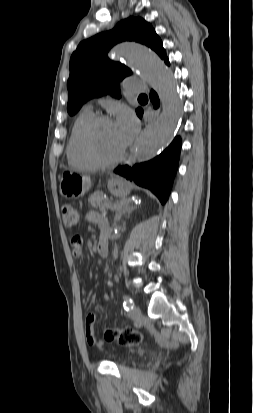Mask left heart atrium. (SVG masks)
I'll list each match as a JSON object with an SVG mask.
<instances>
[{
  "mask_svg": "<svg viewBox=\"0 0 253 413\" xmlns=\"http://www.w3.org/2000/svg\"><path fill=\"white\" fill-rule=\"evenodd\" d=\"M114 124L123 146L126 147L138 130L134 115L128 110H122Z\"/></svg>",
  "mask_w": 253,
  "mask_h": 413,
  "instance_id": "39dd6f15",
  "label": "left heart atrium"
}]
</instances>
